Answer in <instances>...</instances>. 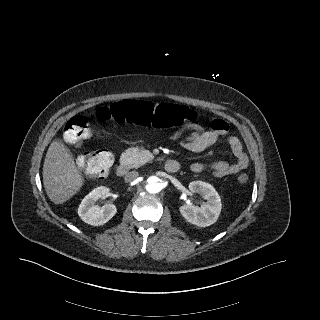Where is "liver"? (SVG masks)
Returning <instances> with one entry per match:
<instances>
[{
  "instance_id": "obj_1",
  "label": "liver",
  "mask_w": 320,
  "mask_h": 320,
  "mask_svg": "<svg viewBox=\"0 0 320 320\" xmlns=\"http://www.w3.org/2000/svg\"><path fill=\"white\" fill-rule=\"evenodd\" d=\"M83 182L72 154L63 144L53 141L43 165V184L49 199L63 204L80 190Z\"/></svg>"
}]
</instances>
